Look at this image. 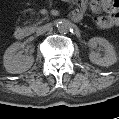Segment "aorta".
<instances>
[{
	"instance_id": "aorta-1",
	"label": "aorta",
	"mask_w": 119,
	"mask_h": 119,
	"mask_svg": "<svg viewBox=\"0 0 119 119\" xmlns=\"http://www.w3.org/2000/svg\"><path fill=\"white\" fill-rule=\"evenodd\" d=\"M57 29L60 33H68L71 30V23L67 20L61 21L57 24Z\"/></svg>"
}]
</instances>
